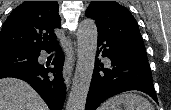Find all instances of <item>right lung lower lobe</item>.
I'll return each mask as SVG.
<instances>
[{
    "instance_id": "98d812e1",
    "label": "right lung lower lobe",
    "mask_w": 171,
    "mask_h": 110,
    "mask_svg": "<svg viewBox=\"0 0 171 110\" xmlns=\"http://www.w3.org/2000/svg\"><path fill=\"white\" fill-rule=\"evenodd\" d=\"M57 49L53 61L47 64H35L28 67H19L0 71V79L15 77L28 82L44 99L50 110H62L66 86L62 78L64 54L59 45L55 44L45 49L48 53ZM40 52H38L39 56Z\"/></svg>"
}]
</instances>
